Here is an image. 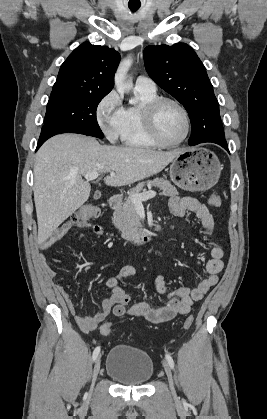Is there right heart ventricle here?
Segmentation results:
<instances>
[{
	"instance_id": "right-heart-ventricle-1",
	"label": "right heart ventricle",
	"mask_w": 267,
	"mask_h": 419,
	"mask_svg": "<svg viewBox=\"0 0 267 419\" xmlns=\"http://www.w3.org/2000/svg\"><path fill=\"white\" fill-rule=\"evenodd\" d=\"M139 103L123 108L120 138L125 146L154 149L159 147L148 135L144 120V107L158 97L156 91L136 90Z\"/></svg>"
}]
</instances>
